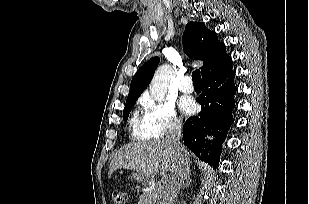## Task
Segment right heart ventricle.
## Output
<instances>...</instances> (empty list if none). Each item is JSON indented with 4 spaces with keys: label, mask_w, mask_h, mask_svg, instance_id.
Segmentation results:
<instances>
[{
    "label": "right heart ventricle",
    "mask_w": 309,
    "mask_h": 204,
    "mask_svg": "<svg viewBox=\"0 0 309 204\" xmlns=\"http://www.w3.org/2000/svg\"><path fill=\"white\" fill-rule=\"evenodd\" d=\"M144 117H142L139 112L136 110L131 119V124L133 127L134 134L138 138H143L142 136V127H143Z\"/></svg>",
    "instance_id": "obj_1"
}]
</instances>
